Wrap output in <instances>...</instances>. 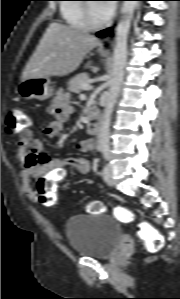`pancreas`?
I'll return each instance as SVG.
<instances>
[{
	"label": "pancreas",
	"instance_id": "cf45deb5",
	"mask_svg": "<svg viewBox=\"0 0 180 299\" xmlns=\"http://www.w3.org/2000/svg\"><path fill=\"white\" fill-rule=\"evenodd\" d=\"M84 84H89V75L87 73L78 74L69 80L68 90L73 93H80Z\"/></svg>",
	"mask_w": 180,
	"mask_h": 299
}]
</instances>
